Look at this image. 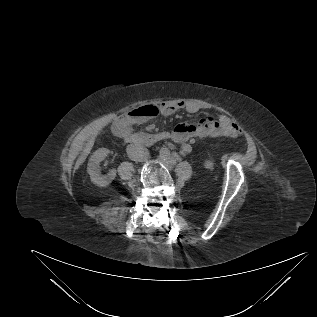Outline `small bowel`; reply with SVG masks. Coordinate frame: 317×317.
I'll return each mask as SVG.
<instances>
[{
	"instance_id": "c3829d8e",
	"label": "small bowel",
	"mask_w": 317,
	"mask_h": 317,
	"mask_svg": "<svg viewBox=\"0 0 317 317\" xmlns=\"http://www.w3.org/2000/svg\"><path fill=\"white\" fill-rule=\"evenodd\" d=\"M163 116L172 115L184 110L195 114L200 111V106L194 101H161L158 104ZM136 121L129 117H122L116 125L121 132H129ZM239 127L233 124L227 116L214 119L211 115H204L198 123H181L172 131V140L181 146L183 153L192 151V139L195 137L236 136Z\"/></svg>"
}]
</instances>
